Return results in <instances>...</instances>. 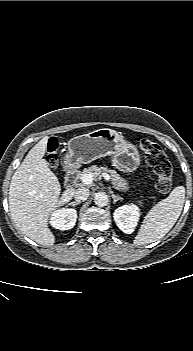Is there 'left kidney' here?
I'll list each match as a JSON object with an SVG mask.
<instances>
[{
	"label": "left kidney",
	"mask_w": 193,
	"mask_h": 351,
	"mask_svg": "<svg viewBox=\"0 0 193 351\" xmlns=\"http://www.w3.org/2000/svg\"><path fill=\"white\" fill-rule=\"evenodd\" d=\"M113 217L116 225L122 232L131 234L138 224L140 209L134 204L123 205L114 211Z\"/></svg>",
	"instance_id": "5707ae66"
}]
</instances>
